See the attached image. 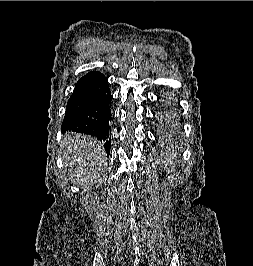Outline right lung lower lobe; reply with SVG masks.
I'll list each match as a JSON object with an SVG mask.
<instances>
[{"mask_svg": "<svg viewBox=\"0 0 253 266\" xmlns=\"http://www.w3.org/2000/svg\"><path fill=\"white\" fill-rule=\"evenodd\" d=\"M111 91L107 78L91 71L76 83L66 106L62 132L73 131L96 137L110 153Z\"/></svg>", "mask_w": 253, "mask_h": 266, "instance_id": "1", "label": "right lung lower lobe"}]
</instances>
